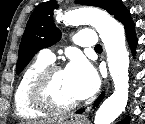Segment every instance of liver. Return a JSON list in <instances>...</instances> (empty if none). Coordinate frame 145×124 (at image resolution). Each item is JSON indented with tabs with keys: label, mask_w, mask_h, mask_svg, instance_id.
I'll return each instance as SVG.
<instances>
[{
	"label": "liver",
	"mask_w": 145,
	"mask_h": 124,
	"mask_svg": "<svg viewBox=\"0 0 145 124\" xmlns=\"http://www.w3.org/2000/svg\"><path fill=\"white\" fill-rule=\"evenodd\" d=\"M64 122H65V118L59 117V118L50 119L47 121L35 122L34 124H63Z\"/></svg>",
	"instance_id": "liver-1"
}]
</instances>
